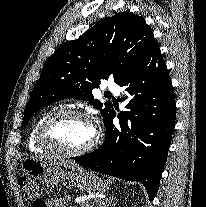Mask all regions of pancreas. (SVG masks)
<instances>
[{"label": "pancreas", "mask_w": 206, "mask_h": 207, "mask_svg": "<svg viewBox=\"0 0 206 207\" xmlns=\"http://www.w3.org/2000/svg\"><path fill=\"white\" fill-rule=\"evenodd\" d=\"M64 200V199H63ZM80 207H93V205L89 202H83Z\"/></svg>", "instance_id": "cf45deb5"}]
</instances>
